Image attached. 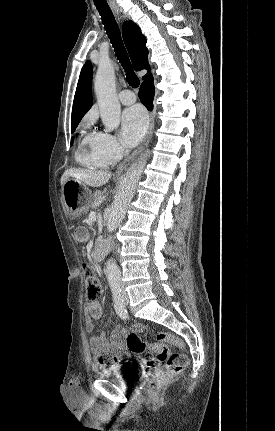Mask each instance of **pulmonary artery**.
Masks as SVG:
<instances>
[{
	"instance_id": "1",
	"label": "pulmonary artery",
	"mask_w": 275,
	"mask_h": 431,
	"mask_svg": "<svg viewBox=\"0 0 275 431\" xmlns=\"http://www.w3.org/2000/svg\"><path fill=\"white\" fill-rule=\"evenodd\" d=\"M119 100L124 105L133 104L136 101V97L130 90H123L119 93Z\"/></svg>"
}]
</instances>
